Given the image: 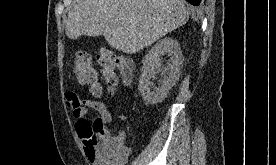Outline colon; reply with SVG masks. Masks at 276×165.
Returning <instances> with one entry per match:
<instances>
[{
	"instance_id": "obj_1",
	"label": "colon",
	"mask_w": 276,
	"mask_h": 165,
	"mask_svg": "<svg viewBox=\"0 0 276 165\" xmlns=\"http://www.w3.org/2000/svg\"><path fill=\"white\" fill-rule=\"evenodd\" d=\"M97 62L100 72L88 52H78L74 58V70L79 82L88 86L93 95L111 94L118 83L119 76L125 83L131 82L133 65L125 56L104 48L99 52ZM78 129L87 145L93 146L97 142L99 125L91 124L87 119H81ZM111 147L116 146L112 144Z\"/></svg>"
}]
</instances>
